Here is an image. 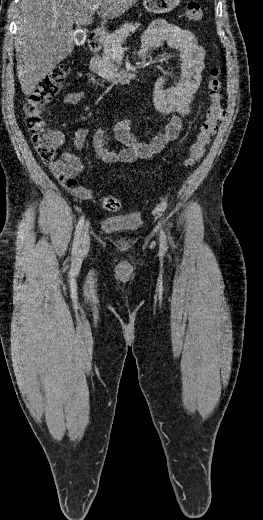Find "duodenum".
I'll list each match as a JSON object with an SVG mask.
<instances>
[{"instance_id":"obj_1","label":"duodenum","mask_w":263,"mask_h":520,"mask_svg":"<svg viewBox=\"0 0 263 520\" xmlns=\"http://www.w3.org/2000/svg\"><path fill=\"white\" fill-rule=\"evenodd\" d=\"M88 47L91 53H96L101 47V35L99 31H93L88 38ZM86 75L88 82L95 87H103V83L96 74L91 65L86 67ZM130 79V76H125L124 80Z\"/></svg>"}]
</instances>
